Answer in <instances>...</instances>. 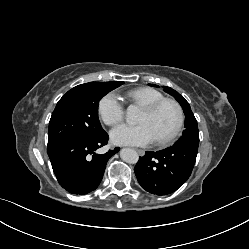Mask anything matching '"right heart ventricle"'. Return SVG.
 I'll return each mask as SVG.
<instances>
[{"mask_svg":"<svg viewBox=\"0 0 249 249\" xmlns=\"http://www.w3.org/2000/svg\"><path fill=\"white\" fill-rule=\"evenodd\" d=\"M124 97L133 105L144 106L165 98L158 90L150 87H138L128 90Z\"/></svg>","mask_w":249,"mask_h":249,"instance_id":"obj_1","label":"right heart ventricle"}]
</instances>
